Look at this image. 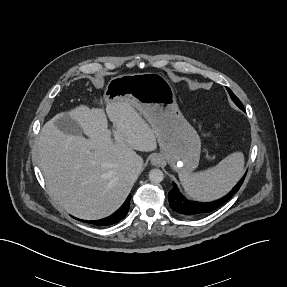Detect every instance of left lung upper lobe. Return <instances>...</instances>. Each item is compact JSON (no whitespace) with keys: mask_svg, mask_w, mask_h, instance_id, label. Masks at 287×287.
<instances>
[{"mask_svg":"<svg viewBox=\"0 0 287 287\" xmlns=\"http://www.w3.org/2000/svg\"><path fill=\"white\" fill-rule=\"evenodd\" d=\"M227 90H228V92H229V94H230L231 99L235 102V104H236L239 108H241V109L243 110L244 108H243V105H242V103L240 102V100L235 96V94H234L229 88H227Z\"/></svg>","mask_w":287,"mask_h":287,"instance_id":"obj_1","label":"left lung upper lobe"}]
</instances>
